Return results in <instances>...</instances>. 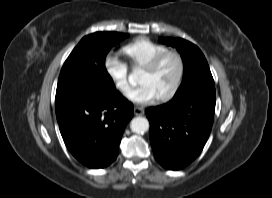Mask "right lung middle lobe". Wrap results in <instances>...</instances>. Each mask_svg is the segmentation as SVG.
<instances>
[{
	"instance_id": "1",
	"label": "right lung middle lobe",
	"mask_w": 272,
	"mask_h": 198,
	"mask_svg": "<svg viewBox=\"0 0 272 198\" xmlns=\"http://www.w3.org/2000/svg\"><path fill=\"white\" fill-rule=\"evenodd\" d=\"M128 34L96 32L85 36L65 61L57 85L56 100L80 93L106 94L115 90L105 68V57L112 46Z\"/></svg>"
}]
</instances>
